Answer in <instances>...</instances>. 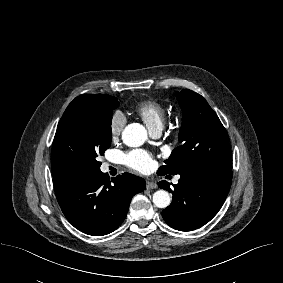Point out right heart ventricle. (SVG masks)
<instances>
[{"label": "right heart ventricle", "instance_id": "e07e8e85", "mask_svg": "<svg viewBox=\"0 0 283 283\" xmlns=\"http://www.w3.org/2000/svg\"><path fill=\"white\" fill-rule=\"evenodd\" d=\"M135 113L145 122L150 131L162 129L165 117V106L157 100H145L135 108Z\"/></svg>", "mask_w": 283, "mask_h": 283}]
</instances>
